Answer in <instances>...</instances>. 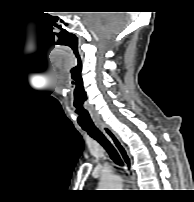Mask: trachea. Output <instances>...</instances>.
<instances>
[{
	"mask_svg": "<svg viewBox=\"0 0 194 202\" xmlns=\"http://www.w3.org/2000/svg\"><path fill=\"white\" fill-rule=\"evenodd\" d=\"M82 129L86 131L93 139L98 141L108 152L111 159L118 165L123 166V162L112 144L106 139V137L100 132V130L94 125H81Z\"/></svg>",
	"mask_w": 194,
	"mask_h": 202,
	"instance_id": "1",
	"label": "trachea"
}]
</instances>
